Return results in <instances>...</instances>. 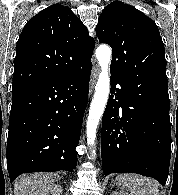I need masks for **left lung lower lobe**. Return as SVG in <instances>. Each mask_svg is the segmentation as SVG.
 <instances>
[{
    "label": "left lung lower lobe",
    "mask_w": 178,
    "mask_h": 195,
    "mask_svg": "<svg viewBox=\"0 0 178 195\" xmlns=\"http://www.w3.org/2000/svg\"><path fill=\"white\" fill-rule=\"evenodd\" d=\"M102 119L103 172H132L166 184L171 157L169 100L140 93L111 75ZM119 83L121 88L114 89Z\"/></svg>",
    "instance_id": "0a47b994"
}]
</instances>
